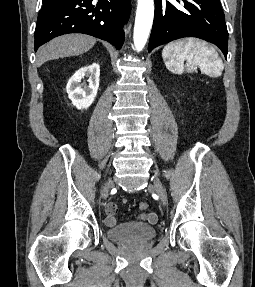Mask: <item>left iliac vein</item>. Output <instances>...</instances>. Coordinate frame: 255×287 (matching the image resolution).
Wrapping results in <instances>:
<instances>
[{"mask_svg": "<svg viewBox=\"0 0 255 287\" xmlns=\"http://www.w3.org/2000/svg\"><path fill=\"white\" fill-rule=\"evenodd\" d=\"M154 188L159 195L161 203L166 206L167 205V195L166 191L158 178H154Z\"/></svg>", "mask_w": 255, "mask_h": 287, "instance_id": "1", "label": "left iliac vein"}]
</instances>
